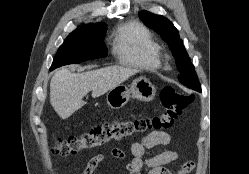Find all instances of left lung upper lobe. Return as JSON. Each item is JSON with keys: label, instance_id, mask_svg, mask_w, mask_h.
Returning a JSON list of instances; mask_svg holds the SVG:
<instances>
[{"label": "left lung upper lobe", "instance_id": "1", "mask_svg": "<svg viewBox=\"0 0 249 174\" xmlns=\"http://www.w3.org/2000/svg\"><path fill=\"white\" fill-rule=\"evenodd\" d=\"M139 18L147 27L160 34L161 38L168 43V46L176 59L177 68L179 70V81L188 88L201 91L194 66L190 63L183 41L180 39L174 25L167 18L147 11L140 12Z\"/></svg>", "mask_w": 249, "mask_h": 174}]
</instances>
